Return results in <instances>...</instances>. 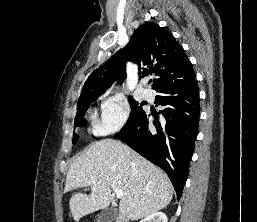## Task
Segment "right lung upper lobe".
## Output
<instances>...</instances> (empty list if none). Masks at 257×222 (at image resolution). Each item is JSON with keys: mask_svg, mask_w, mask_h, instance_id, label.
I'll use <instances>...</instances> for the list:
<instances>
[{"mask_svg": "<svg viewBox=\"0 0 257 222\" xmlns=\"http://www.w3.org/2000/svg\"><path fill=\"white\" fill-rule=\"evenodd\" d=\"M127 60L136 63L139 72L143 70L142 77L152 73L159 77L153 84L154 90L195 75L191 62L175 37L158 24L148 22L135 30L125 48L90 74L78 104L86 98L100 96L117 79L122 83Z\"/></svg>", "mask_w": 257, "mask_h": 222, "instance_id": "cb5924a9", "label": "right lung upper lobe"}]
</instances>
